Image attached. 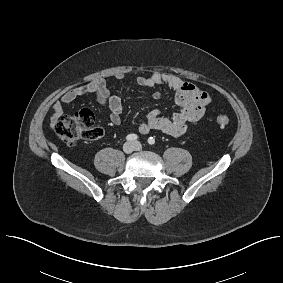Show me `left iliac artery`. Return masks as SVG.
Listing matches in <instances>:
<instances>
[{"label": "left iliac artery", "mask_w": 283, "mask_h": 283, "mask_svg": "<svg viewBox=\"0 0 283 283\" xmlns=\"http://www.w3.org/2000/svg\"><path fill=\"white\" fill-rule=\"evenodd\" d=\"M148 143H149L150 145H153V144L155 143V139H154L153 137H149V138H148Z\"/></svg>", "instance_id": "obj_1"}]
</instances>
